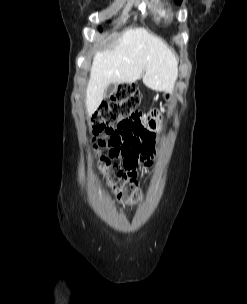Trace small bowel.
<instances>
[{"instance_id": "c3829d8e", "label": "small bowel", "mask_w": 247, "mask_h": 304, "mask_svg": "<svg viewBox=\"0 0 247 304\" xmlns=\"http://www.w3.org/2000/svg\"><path fill=\"white\" fill-rule=\"evenodd\" d=\"M157 108L152 112H126V119H159ZM116 130L104 133L107 141L100 140L101 145L107 144L106 156L110 162L124 167L125 171L135 179L139 168L147 165V161L155 153L158 145L156 132L162 125L158 120H124L115 122ZM151 152V154H150Z\"/></svg>"}]
</instances>
